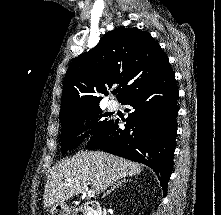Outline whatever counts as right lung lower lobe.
Returning a JSON list of instances; mask_svg holds the SVG:
<instances>
[{
  "label": "right lung lower lobe",
  "instance_id": "98d812e1",
  "mask_svg": "<svg viewBox=\"0 0 221 215\" xmlns=\"http://www.w3.org/2000/svg\"><path fill=\"white\" fill-rule=\"evenodd\" d=\"M177 98L175 75L170 69L121 101L132 106L126 110L131 113L124 130L118 128L117 122L109 121L91 137L86 148L101 149L149 166L166 194L175 150Z\"/></svg>",
  "mask_w": 221,
  "mask_h": 215
}]
</instances>
